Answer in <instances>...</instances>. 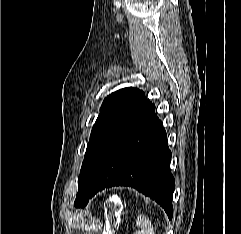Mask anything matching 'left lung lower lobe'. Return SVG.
Instances as JSON below:
<instances>
[{
	"instance_id": "left-lung-lower-lobe-1",
	"label": "left lung lower lobe",
	"mask_w": 241,
	"mask_h": 234,
	"mask_svg": "<svg viewBox=\"0 0 241 234\" xmlns=\"http://www.w3.org/2000/svg\"><path fill=\"white\" fill-rule=\"evenodd\" d=\"M170 160L162 122L155 114L154 104L144 97L108 149L82 206L104 188L125 185L154 199L172 219L175 181Z\"/></svg>"
}]
</instances>
